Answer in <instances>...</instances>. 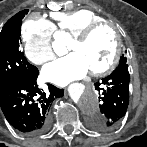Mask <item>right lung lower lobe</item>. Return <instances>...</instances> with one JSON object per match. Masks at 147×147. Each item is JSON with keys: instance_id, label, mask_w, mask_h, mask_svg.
Wrapping results in <instances>:
<instances>
[{"instance_id": "obj_1", "label": "right lung lower lobe", "mask_w": 147, "mask_h": 147, "mask_svg": "<svg viewBox=\"0 0 147 147\" xmlns=\"http://www.w3.org/2000/svg\"><path fill=\"white\" fill-rule=\"evenodd\" d=\"M37 71L0 86V106L7 121L19 132L38 135L49 127V107L56 97L64 95L63 89L49 84V92L37 85Z\"/></svg>"}]
</instances>
